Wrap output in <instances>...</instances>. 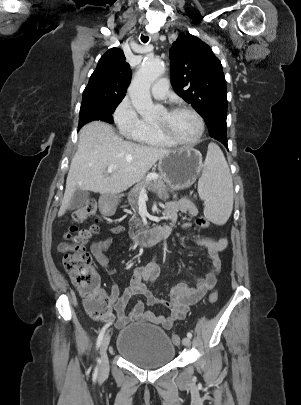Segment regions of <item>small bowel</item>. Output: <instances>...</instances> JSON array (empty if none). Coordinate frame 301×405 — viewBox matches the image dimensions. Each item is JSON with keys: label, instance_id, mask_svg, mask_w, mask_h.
Instances as JSON below:
<instances>
[{"label": "small bowel", "instance_id": "obj_1", "mask_svg": "<svg viewBox=\"0 0 301 405\" xmlns=\"http://www.w3.org/2000/svg\"><path fill=\"white\" fill-rule=\"evenodd\" d=\"M165 213L170 221L175 222L179 213L196 217L198 209L195 204L187 198L178 201H173L167 204ZM191 223H185L184 227H190ZM124 231L122 226L114 227L111 234H120ZM112 244L110 236H106L91 244V252L97 262L103 267L108 268L110 259L106 252ZM198 246L204 247L207 250L210 270L203 277H195V287L186 283L180 282L175 284L169 292L168 300H159L150 291L145 282H156L159 277V267L155 264L147 266H138L132 270V275L129 279L127 287L121 291L116 283L111 285L108 293V300L114 305L116 313L115 324L118 328H122L129 323L146 321L164 329H171L175 322L185 318L191 305L202 299L216 285V275L221 268L220 253L226 249L228 241L226 238H198L196 240ZM67 244H61L60 249L63 250ZM140 294L145 297V302H137L131 311L127 313L128 303L133 295ZM162 305L169 310V315H158L148 307ZM110 321L109 324H112Z\"/></svg>", "mask_w": 301, "mask_h": 405}]
</instances>
